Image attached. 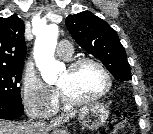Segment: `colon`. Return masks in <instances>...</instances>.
<instances>
[{"label":"colon","mask_w":153,"mask_h":134,"mask_svg":"<svg viewBox=\"0 0 153 134\" xmlns=\"http://www.w3.org/2000/svg\"><path fill=\"white\" fill-rule=\"evenodd\" d=\"M99 134H133L125 110H116L112 120L99 132Z\"/></svg>","instance_id":"5ec220e1"}]
</instances>
